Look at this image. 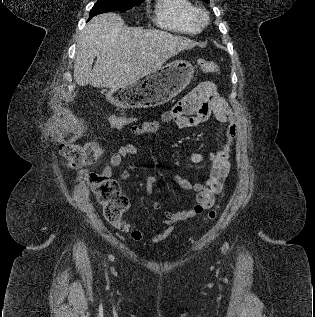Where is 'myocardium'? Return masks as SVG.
<instances>
[{
	"instance_id": "1",
	"label": "myocardium",
	"mask_w": 315,
	"mask_h": 317,
	"mask_svg": "<svg viewBox=\"0 0 315 317\" xmlns=\"http://www.w3.org/2000/svg\"><path fill=\"white\" fill-rule=\"evenodd\" d=\"M194 22L199 27H205L208 23V13L202 8H196L194 12Z\"/></svg>"
}]
</instances>
